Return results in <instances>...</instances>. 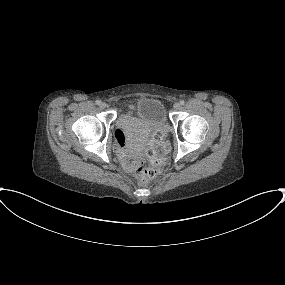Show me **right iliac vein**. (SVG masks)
Listing matches in <instances>:
<instances>
[{"label":"right iliac vein","mask_w":285,"mask_h":285,"mask_svg":"<svg viewBox=\"0 0 285 285\" xmlns=\"http://www.w3.org/2000/svg\"><path fill=\"white\" fill-rule=\"evenodd\" d=\"M100 107H101L102 109H104V108L107 107V104H106L105 102H102V103H100Z\"/></svg>","instance_id":"right-iliac-vein-1"}]
</instances>
